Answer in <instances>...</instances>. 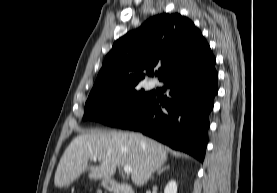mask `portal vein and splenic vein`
Segmentation results:
<instances>
[{"label": "portal vein and splenic vein", "instance_id": "portal-vein-and-splenic-vein-1", "mask_svg": "<svg viewBox=\"0 0 277 193\" xmlns=\"http://www.w3.org/2000/svg\"><path fill=\"white\" fill-rule=\"evenodd\" d=\"M97 156H94V159H96ZM124 172L126 174H130L132 172V167L131 166H124Z\"/></svg>", "mask_w": 277, "mask_h": 193}]
</instances>
